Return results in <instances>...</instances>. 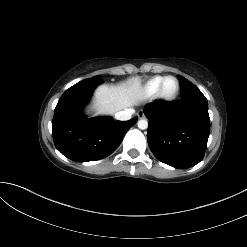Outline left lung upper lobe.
Returning a JSON list of instances; mask_svg holds the SVG:
<instances>
[{
	"label": "left lung upper lobe",
	"instance_id": "5c2ea615",
	"mask_svg": "<svg viewBox=\"0 0 247 247\" xmlns=\"http://www.w3.org/2000/svg\"><path fill=\"white\" fill-rule=\"evenodd\" d=\"M178 79L180 81V89H181V93L184 92L186 89L190 88V87H194L195 85L192 84L189 80H187L186 78H184L183 76H178Z\"/></svg>",
	"mask_w": 247,
	"mask_h": 247
}]
</instances>
